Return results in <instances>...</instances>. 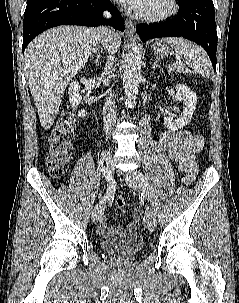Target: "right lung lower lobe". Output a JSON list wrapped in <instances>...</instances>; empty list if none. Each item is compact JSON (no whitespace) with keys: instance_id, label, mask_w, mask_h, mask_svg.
Segmentation results:
<instances>
[{"instance_id":"obj_1","label":"right lung lower lobe","mask_w":239,"mask_h":303,"mask_svg":"<svg viewBox=\"0 0 239 303\" xmlns=\"http://www.w3.org/2000/svg\"><path fill=\"white\" fill-rule=\"evenodd\" d=\"M104 10L112 19L102 17ZM58 25H110L124 31L123 19L110 0H27L22 51L38 34Z\"/></svg>"}]
</instances>
